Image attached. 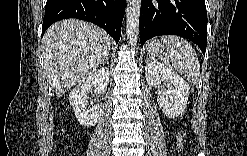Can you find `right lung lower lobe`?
<instances>
[{"instance_id":"right-lung-lower-lobe-1","label":"right lung lower lobe","mask_w":247,"mask_h":156,"mask_svg":"<svg viewBox=\"0 0 247 156\" xmlns=\"http://www.w3.org/2000/svg\"><path fill=\"white\" fill-rule=\"evenodd\" d=\"M125 11V0H47L42 36L56 21L77 18L92 22L118 42Z\"/></svg>"}]
</instances>
